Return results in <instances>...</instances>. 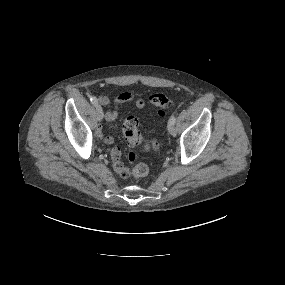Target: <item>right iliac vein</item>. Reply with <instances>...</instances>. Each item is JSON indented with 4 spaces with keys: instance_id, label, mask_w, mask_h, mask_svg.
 <instances>
[{
    "instance_id": "obj_1",
    "label": "right iliac vein",
    "mask_w": 285,
    "mask_h": 285,
    "mask_svg": "<svg viewBox=\"0 0 285 285\" xmlns=\"http://www.w3.org/2000/svg\"><path fill=\"white\" fill-rule=\"evenodd\" d=\"M96 114H97V118L99 121H101L103 119V111L102 108L99 105H96Z\"/></svg>"
}]
</instances>
